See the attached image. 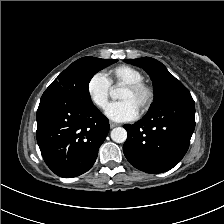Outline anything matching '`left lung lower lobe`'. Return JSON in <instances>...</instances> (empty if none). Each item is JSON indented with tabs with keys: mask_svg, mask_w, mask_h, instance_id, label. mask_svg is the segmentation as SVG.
Instances as JSON below:
<instances>
[{
	"mask_svg": "<svg viewBox=\"0 0 224 224\" xmlns=\"http://www.w3.org/2000/svg\"><path fill=\"white\" fill-rule=\"evenodd\" d=\"M124 128L128 133L123 147L127 160L147 173L166 172L188 150L195 128L194 100L188 96L172 101Z\"/></svg>",
	"mask_w": 224,
	"mask_h": 224,
	"instance_id": "1",
	"label": "left lung lower lobe"
}]
</instances>
